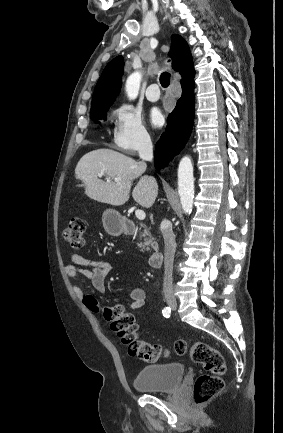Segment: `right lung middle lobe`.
<instances>
[{
	"instance_id": "dd1d6c3e",
	"label": "right lung middle lobe",
	"mask_w": 283,
	"mask_h": 433,
	"mask_svg": "<svg viewBox=\"0 0 283 433\" xmlns=\"http://www.w3.org/2000/svg\"><path fill=\"white\" fill-rule=\"evenodd\" d=\"M110 106L111 105L92 111L90 113L91 119H93L94 121H96V119H105L106 112L109 110Z\"/></svg>"
}]
</instances>
